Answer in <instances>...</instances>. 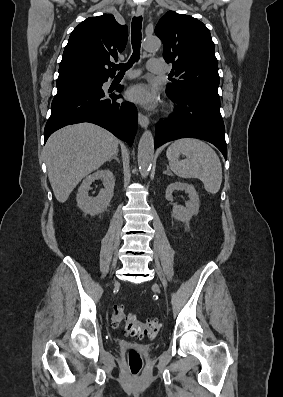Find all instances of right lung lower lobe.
I'll list each match as a JSON object with an SVG mask.
<instances>
[{"instance_id":"obj_1","label":"right lung lower lobe","mask_w":283,"mask_h":397,"mask_svg":"<svg viewBox=\"0 0 283 397\" xmlns=\"http://www.w3.org/2000/svg\"><path fill=\"white\" fill-rule=\"evenodd\" d=\"M106 81L97 85L58 90L52 101L51 116L45 126V142L54 131L66 125L91 122L109 130L131 146L137 131V110L130 102H118L121 95L107 97L102 90ZM122 89L120 86L118 91Z\"/></svg>"}]
</instances>
